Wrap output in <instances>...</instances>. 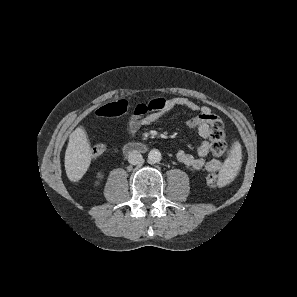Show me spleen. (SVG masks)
Wrapping results in <instances>:
<instances>
[{
	"instance_id": "spleen-1",
	"label": "spleen",
	"mask_w": 297,
	"mask_h": 297,
	"mask_svg": "<svg viewBox=\"0 0 297 297\" xmlns=\"http://www.w3.org/2000/svg\"><path fill=\"white\" fill-rule=\"evenodd\" d=\"M241 145L238 141L234 142L232 149L230 151V155L225 161L224 168L221 172V181L226 183L228 182L233 173L240 167L241 165Z\"/></svg>"
}]
</instances>
